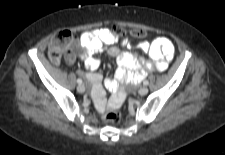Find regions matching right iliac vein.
Listing matches in <instances>:
<instances>
[{"instance_id":"63e3f726","label":"right iliac vein","mask_w":225,"mask_h":155,"mask_svg":"<svg viewBox=\"0 0 225 155\" xmlns=\"http://www.w3.org/2000/svg\"><path fill=\"white\" fill-rule=\"evenodd\" d=\"M77 91H78L79 93H83V92L85 91V86H84L83 84H79V85L77 86Z\"/></svg>"}]
</instances>
